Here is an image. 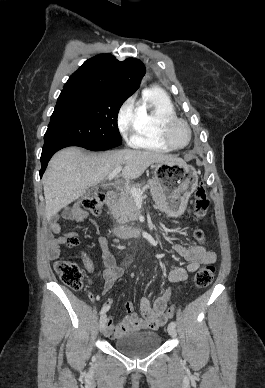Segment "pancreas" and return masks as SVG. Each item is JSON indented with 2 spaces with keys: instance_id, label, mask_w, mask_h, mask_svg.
Masks as SVG:
<instances>
[{
  "instance_id": "cf45deb5",
  "label": "pancreas",
  "mask_w": 265,
  "mask_h": 388,
  "mask_svg": "<svg viewBox=\"0 0 265 388\" xmlns=\"http://www.w3.org/2000/svg\"><path fill=\"white\" fill-rule=\"evenodd\" d=\"M145 184L149 186L150 194L157 208H160V210L167 208V198L165 194H163L162 188L157 186L155 180H147V182H142V184H133V186H129L127 190L121 192V196L116 206H113L112 208L113 218L117 220L118 224H128V222L138 220V210L136 208L135 200L130 194V190L131 188H142Z\"/></svg>"
}]
</instances>
